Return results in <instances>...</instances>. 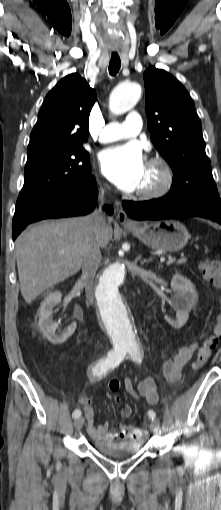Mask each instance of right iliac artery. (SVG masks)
Listing matches in <instances>:
<instances>
[{"instance_id": "1", "label": "right iliac artery", "mask_w": 221, "mask_h": 510, "mask_svg": "<svg viewBox=\"0 0 221 510\" xmlns=\"http://www.w3.org/2000/svg\"><path fill=\"white\" fill-rule=\"evenodd\" d=\"M125 353L120 350H110L106 357L101 358L92 368L94 376L105 375L109 370L114 369L124 359ZM81 416L79 409L74 410L72 417L78 418Z\"/></svg>"}]
</instances>
